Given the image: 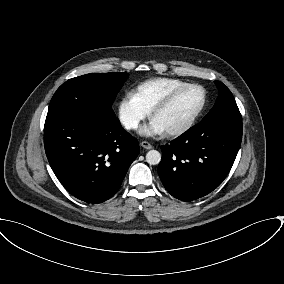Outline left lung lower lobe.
Segmentation results:
<instances>
[{
	"label": "left lung lower lobe",
	"instance_id": "left-lung-lower-lobe-1",
	"mask_svg": "<svg viewBox=\"0 0 284 284\" xmlns=\"http://www.w3.org/2000/svg\"><path fill=\"white\" fill-rule=\"evenodd\" d=\"M242 140V119L200 122L161 146L159 177L166 190L182 201L201 198L229 173Z\"/></svg>",
	"mask_w": 284,
	"mask_h": 284
}]
</instances>
